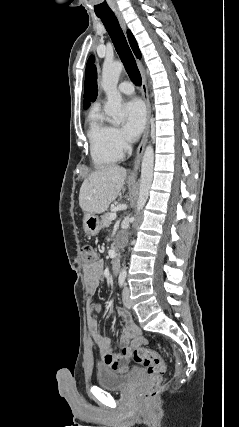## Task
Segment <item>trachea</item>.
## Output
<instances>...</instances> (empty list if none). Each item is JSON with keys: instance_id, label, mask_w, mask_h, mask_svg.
I'll return each mask as SVG.
<instances>
[{"instance_id": "trachea-1", "label": "trachea", "mask_w": 239, "mask_h": 427, "mask_svg": "<svg viewBox=\"0 0 239 427\" xmlns=\"http://www.w3.org/2000/svg\"><path fill=\"white\" fill-rule=\"evenodd\" d=\"M98 17L103 22L110 38L112 39L114 47L124 64L128 76L136 86H140L142 83L141 74L116 16L111 14Z\"/></svg>"}]
</instances>
